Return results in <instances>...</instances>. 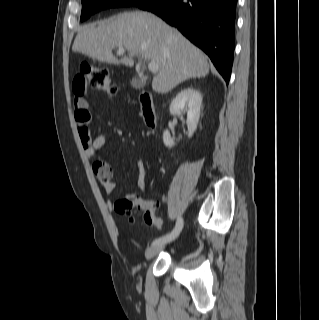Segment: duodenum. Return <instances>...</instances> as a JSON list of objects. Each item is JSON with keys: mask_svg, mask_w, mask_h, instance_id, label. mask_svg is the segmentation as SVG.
I'll use <instances>...</instances> for the list:
<instances>
[{"mask_svg": "<svg viewBox=\"0 0 319 320\" xmlns=\"http://www.w3.org/2000/svg\"><path fill=\"white\" fill-rule=\"evenodd\" d=\"M140 104L142 108V116L146 125L154 129L156 126V115L153 107L152 97L149 92L145 91L140 95Z\"/></svg>", "mask_w": 319, "mask_h": 320, "instance_id": "obj_1", "label": "duodenum"}]
</instances>
